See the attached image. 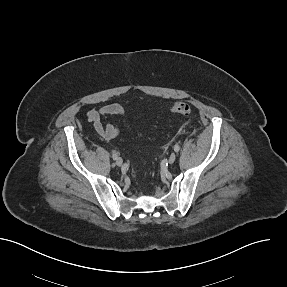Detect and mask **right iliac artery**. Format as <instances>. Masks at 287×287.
<instances>
[{
    "instance_id": "1",
    "label": "right iliac artery",
    "mask_w": 287,
    "mask_h": 287,
    "mask_svg": "<svg viewBox=\"0 0 287 287\" xmlns=\"http://www.w3.org/2000/svg\"><path fill=\"white\" fill-rule=\"evenodd\" d=\"M112 158H113L114 160H116V159L118 158V154L115 153V152H113V153H112Z\"/></svg>"
}]
</instances>
